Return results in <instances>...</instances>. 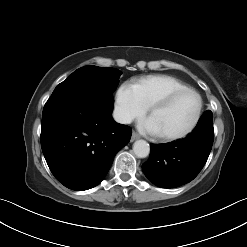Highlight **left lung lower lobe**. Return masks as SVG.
<instances>
[{"label":"left lung lower lobe","instance_id":"obj_1","mask_svg":"<svg viewBox=\"0 0 247 247\" xmlns=\"http://www.w3.org/2000/svg\"><path fill=\"white\" fill-rule=\"evenodd\" d=\"M213 114L206 111L185 139L150 145V157L142 165L146 177L156 186L179 187L192 181L205 165L213 139Z\"/></svg>","mask_w":247,"mask_h":247}]
</instances>
